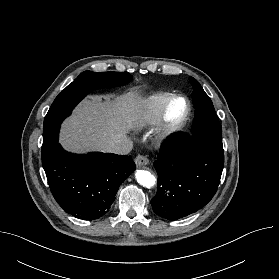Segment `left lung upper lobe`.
Listing matches in <instances>:
<instances>
[{"label":"left lung upper lobe","mask_w":279,"mask_h":279,"mask_svg":"<svg viewBox=\"0 0 279 279\" xmlns=\"http://www.w3.org/2000/svg\"><path fill=\"white\" fill-rule=\"evenodd\" d=\"M190 79L194 87L192 95L195 105V119L189 136L223 152L222 126L216 116L212 101L198 81L193 77Z\"/></svg>","instance_id":"1"}]
</instances>
